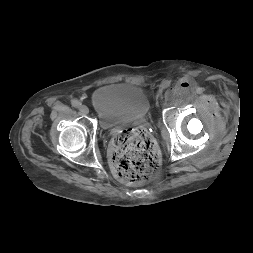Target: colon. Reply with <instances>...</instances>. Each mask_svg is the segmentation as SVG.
<instances>
[{
	"instance_id": "1",
	"label": "colon",
	"mask_w": 253,
	"mask_h": 253,
	"mask_svg": "<svg viewBox=\"0 0 253 253\" xmlns=\"http://www.w3.org/2000/svg\"><path fill=\"white\" fill-rule=\"evenodd\" d=\"M110 161L118 180L135 185L145 183L156 175L160 158L156 145L146 130L129 128L114 137Z\"/></svg>"
}]
</instances>
